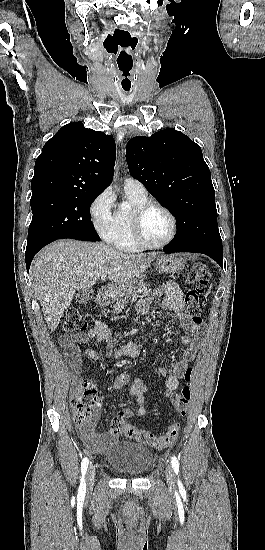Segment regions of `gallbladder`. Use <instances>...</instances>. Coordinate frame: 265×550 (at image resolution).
I'll use <instances>...</instances> for the list:
<instances>
[{"instance_id": "obj_1", "label": "gallbladder", "mask_w": 265, "mask_h": 550, "mask_svg": "<svg viewBox=\"0 0 265 550\" xmlns=\"http://www.w3.org/2000/svg\"><path fill=\"white\" fill-rule=\"evenodd\" d=\"M75 297L79 303L86 304L94 298V292L90 289L79 290Z\"/></svg>"}]
</instances>
